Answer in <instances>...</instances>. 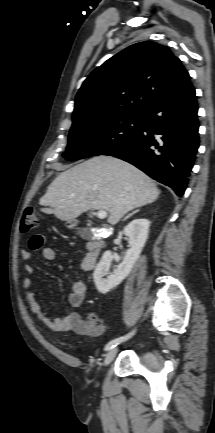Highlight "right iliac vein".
Segmentation results:
<instances>
[{
    "mask_svg": "<svg viewBox=\"0 0 215 433\" xmlns=\"http://www.w3.org/2000/svg\"><path fill=\"white\" fill-rule=\"evenodd\" d=\"M117 352H118V348L117 347H114V348L110 349L107 352V354L105 356V360H104V365L105 366L109 365L114 360Z\"/></svg>",
    "mask_w": 215,
    "mask_h": 433,
    "instance_id": "right-iliac-vein-1",
    "label": "right iliac vein"
}]
</instances>
